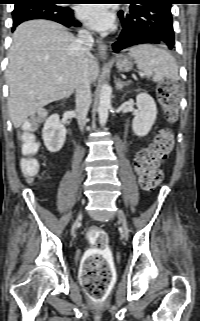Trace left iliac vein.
Masks as SVG:
<instances>
[{"label":"left iliac vein","instance_id":"1","mask_svg":"<svg viewBox=\"0 0 200 321\" xmlns=\"http://www.w3.org/2000/svg\"><path fill=\"white\" fill-rule=\"evenodd\" d=\"M117 216H118V219H119L120 223L122 224L123 228L126 229L127 228V220H126V216L123 213V211L118 210Z\"/></svg>","mask_w":200,"mask_h":321}]
</instances>
